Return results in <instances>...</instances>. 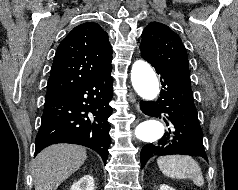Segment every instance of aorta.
I'll return each instance as SVG.
<instances>
[{"label": "aorta", "instance_id": "aorta-1", "mask_svg": "<svg viewBox=\"0 0 238 190\" xmlns=\"http://www.w3.org/2000/svg\"><path fill=\"white\" fill-rule=\"evenodd\" d=\"M131 81L134 90L144 100L152 101L159 94V83L157 76L151 66L142 60L136 61L131 70ZM164 134L163 124L155 119L149 118L140 122L135 128V136L145 143H154Z\"/></svg>", "mask_w": 238, "mask_h": 190}]
</instances>
